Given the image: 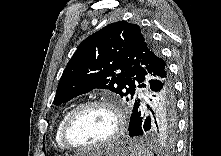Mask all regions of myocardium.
<instances>
[{
  "instance_id": "myocardium-1",
  "label": "myocardium",
  "mask_w": 221,
  "mask_h": 156,
  "mask_svg": "<svg viewBox=\"0 0 221 156\" xmlns=\"http://www.w3.org/2000/svg\"><path fill=\"white\" fill-rule=\"evenodd\" d=\"M97 106L105 107L113 113L115 118V128L113 133L106 140L102 141L99 144L90 145V146L75 145L74 143L71 142L69 138V130L72 123L82 112H84L85 110L91 107H97ZM124 126H125V120L123 113L119 108V106L114 101L105 98L89 100L82 104H79L68 114L61 128V133H60L61 142L67 149L73 151L97 150L115 142L121 136L124 130Z\"/></svg>"
}]
</instances>
